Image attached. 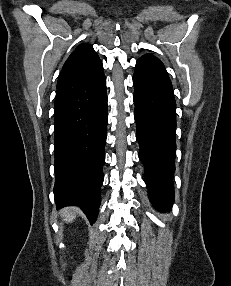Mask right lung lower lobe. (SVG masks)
I'll use <instances>...</instances> for the list:
<instances>
[{
	"label": "right lung lower lobe",
	"instance_id": "98d812e1",
	"mask_svg": "<svg viewBox=\"0 0 231 286\" xmlns=\"http://www.w3.org/2000/svg\"><path fill=\"white\" fill-rule=\"evenodd\" d=\"M107 121L103 68L93 76L57 85L54 197L57 207L79 206L91 224L101 201Z\"/></svg>",
	"mask_w": 231,
	"mask_h": 286
}]
</instances>
